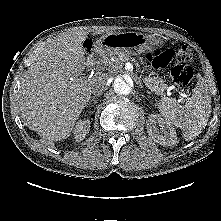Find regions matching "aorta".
Here are the masks:
<instances>
[{
  "mask_svg": "<svg viewBox=\"0 0 221 221\" xmlns=\"http://www.w3.org/2000/svg\"><path fill=\"white\" fill-rule=\"evenodd\" d=\"M113 88L118 95H127L132 89L130 83L121 76L115 78Z\"/></svg>",
  "mask_w": 221,
  "mask_h": 221,
  "instance_id": "obj_1",
  "label": "aorta"
}]
</instances>
